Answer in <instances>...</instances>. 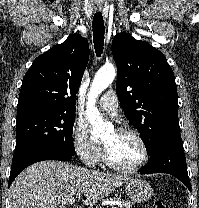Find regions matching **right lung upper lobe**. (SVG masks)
<instances>
[{"instance_id": "cb5924a9", "label": "right lung upper lobe", "mask_w": 199, "mask_h": 208, "mask_svg": "<svg viewBox=\"0 0 199 208\" xmlns=\"http://www.w3.org/2000/svg\"><path fill=\"white\" fill-rule=\"evenodd\" d=\"M88 59V41L79 34L38 56L23 78L17 111L32 108L75 111Z\"/></svg>"}]
</instances>
